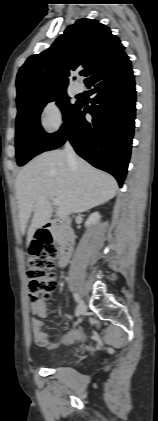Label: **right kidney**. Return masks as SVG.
Listing matches in <instances>:
<instances>
[{
  "mask_svg": "<svg viewBox=\"0 0 158 421\" xmlns=\"http://www.w3.org/2000/svg\"><path fill=\"white\" fill-rule=\"evenodd\" d=\"M99 219H100V214L98 212H94L89 216V218L85 222V226L90 227L91 225H95L98 223Z\"/></svg>",
  "mask_w": 158,
  "mask_h": 421,
  "instance_id": "1",
  "label": "right kidney"
}]
</instances>
